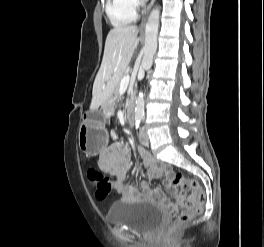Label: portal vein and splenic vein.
Segmentation results:
<instances>
[{
  "mask_svg": "<svg viewBox=\"0 0 264 247\" xmlns=\"http://www.w3.org/2000/svg\"><path fill=\"white\" fill-rule=\"evenodd\" d=\"M129 80H130V77L128 75L122 78L120 82V90H124L127 88L129 84Z\"/></svg>",
  "mask_w": 264,
  "mask_h": 247,
  "instance_id": "portal-vein-and-splenic-vein-1",
  "label": "portal vein and splenic vein"
}]
</instances>
